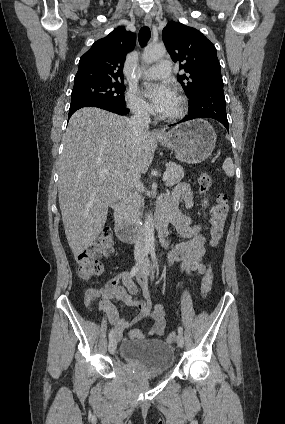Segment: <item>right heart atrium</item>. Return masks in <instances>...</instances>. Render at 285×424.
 <instances>
[{
  "mask_svg": "<svg viewBox=\"0 0 285 424\" xmlns=\"http://www.w3.org/2000/svg\"><path fill=\"white\" fill-rule=\"evenodd\" d=\"M126 102L130 110L137 116L146 117L149 115L150 109L148 104L141 97L135 88H130L126 92Z\"/></svg>",
  "mask_w": 285,
  "mask_h": 424,
  "instance_id": "1",
  "label": "right heart atrium"
}]
</instances>
